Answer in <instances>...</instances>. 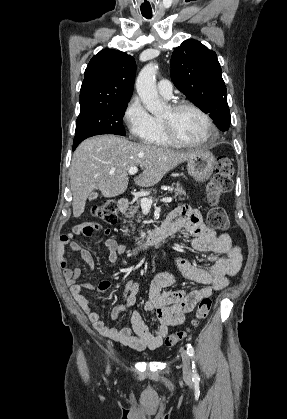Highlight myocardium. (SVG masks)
<instances>
[{
	"label": "myocardium",
	"mask_w": 287,
	"mask_h": 419,
	"mask_svg": "<svg viewBox=\"0 0 287 419\" xmlns=\"http://www.w3.org/2000/svg\"><path fill=\"white\" fill-rule=\"evenodd\" d=\"M173 111H179L182 109H191L197 112L205 121L208 128V135L201 141L198 142H188L176 135L171 125L163 120H160L165 137L173 145L183 146V147H201L205 146L217 138L218 132L217 128L214 125L211 117L199 106L189 101H181L171 105Z\"/></svg>",
	"instance_id": "1"
}]
</instances>
